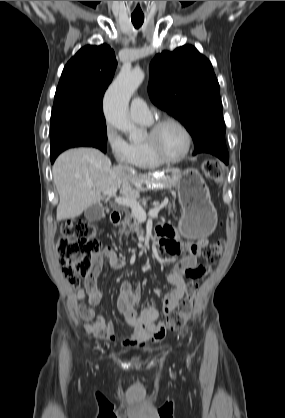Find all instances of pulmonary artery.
<instances>
[{
  "label": "pulmonary artery",
  "instance_id": "e3ab8cb5",
  "mask_svg": "<svg viewBox=\"0 0 285 418\" xmlns=\"http://www.w3.org/2000/svg\"><path fill=\"white\" fill-rule=\"evenodd\" d=\"M129 114L137 122L149 123L152 119L151 111L144 100L134 98L130 104Z\"/></svg>",
  "mask_w": 285,
  "mask_h": 418
}]
</instances>
